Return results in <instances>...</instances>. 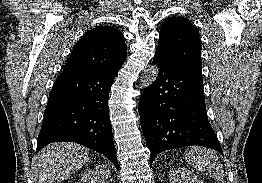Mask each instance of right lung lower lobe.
<instances>
[{
  "instance_id": "1",
  "label": "right lung lower lobe",
  "mask_w": 262,
  "mask_h": 183,
  "mask_svg": "<svg viewBox=\"0 0 262 183\" xmlns=\"http://www.w3.org/2000/svg\"><path fill=\"white\" fill-rule=\"evenodd\" d=\"M118 71L61 74L49 94L37 152L52 142H76L105 155L119 169L108 107Z\"/></svg>"
}]
</instances>
